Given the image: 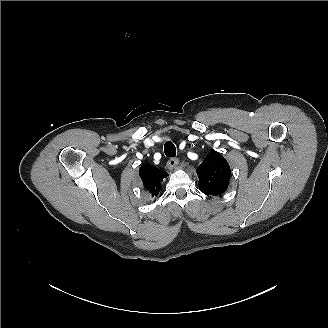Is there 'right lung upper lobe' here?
Returning a JSON list of instances; mask_svg holds the SVG:
<instances>
[{
    "label": "right lung upper lobe",
    "mask_w": 328,
    "mask_h": 328,
    "mask_svg": "<svg viewBox=\"0 0 328 328\" xmlns=\"http://www.w3.org/2000/svg\"><path fill=\"white\" fill-rule=\"evenodd\" d=\"M144 188L152 197L157 196L161 189L163 179L168 175L166 171L158 169L150 164H144L139 169Z\"/></svg>",
    "instance_id": "obj_1"
}]
</instances>
